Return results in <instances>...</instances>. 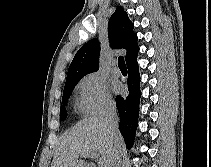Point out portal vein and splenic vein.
I'll list each match as a JSON object with an SVG mask.
<instances>
[{
	"label": "portal vein and splenic vein",
	"mask_w": 211,
	"mask_h": 167,
	"mask_svg": "<svg viewBox=\"0 0 211 167\" xmlns=\"http://www.w3.org/2000/svg\"><path fill=\"white\" fill-rule=\"evenodd\" d=\"M98 156L99 155L96 152H91V153H87V154L82 155V157L92 158V159H97Z\"/></svg>",
	"instance_id": "1"
}]
</instances>
